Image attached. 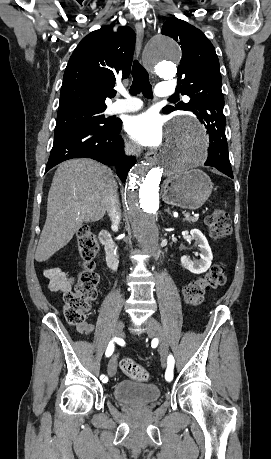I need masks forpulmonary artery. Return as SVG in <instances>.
Masks as SVG:
<instances>
[{"instance_id": "e3ab8cb5", "label": "pulmonary artery", "mask_w": 271, "mask_h": 459, "mask_svg": "<svg viewBox=\"0 0 271 459\" xmlns=\"http://www.w3.org/2000/svg\"><path fill=\"white\" fill-rule=\"evenodd\" d=\"M159 88L156 91L158 98H171L172 93L175 91L174 83L172 81H161L157 84ZM118 94L122 98L115 99L111 102L105 110V114H125L139 111L142 108V103L135 97L128 94L125 89H119Z\"/></svg>"}]
</instances>
